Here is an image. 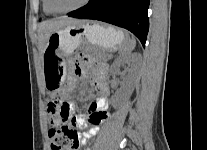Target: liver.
<instances>
[{
    "label": "liver",
    "instance_id": "1",
    "mask_svg": "<svg viewBox=\"0 0 207 150\" xmlns=\"http://www.w3.org/2000/svg\"><path fill=\"white\" fill-rule=\"evenodd\" d=\"M82 22L85 21L69 18L65 16L42 22L38 28L39 50L43 52L44 47L46 45L47 38L52 32L64 28L66 26L74 25Z\"/></svg>",
    "mask_w": 207,
    "mask_h": 150
}]
</instances>
